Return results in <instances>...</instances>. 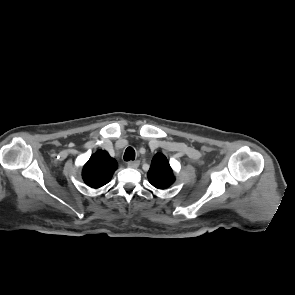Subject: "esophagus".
I'll return each mask as SVG.
<instances>
[{
    "label": "esophagus",
    "mask_w": 295,
    "mask_h": 295,
    "mask_svg": "<svg viewBox=\"0 0 295 295\" xmlns=\"http://www.w3.org/2000/svg\"><path fill=\"white\" fill-rule=\"evenodd\" d=\"M140 162L139 161H130L128 162V167L129 168H137L139 166Z\"/></svg>",
    "instance_id": "obj_1"
}]
</instances>
